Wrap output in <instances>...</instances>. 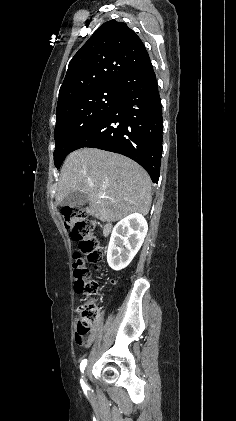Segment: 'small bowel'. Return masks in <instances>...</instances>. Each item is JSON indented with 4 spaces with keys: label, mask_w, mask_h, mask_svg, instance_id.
<instances>
[{
    "label": "small bowel",
    "mask_w": 236,
    "mask_h": 421,
    "mask_svg": "<svg viewBox=\"0 0 236 421\" xmlns=\"http://www.w3.org/2000/svg\"><path fill=\"white\" fill-rule=\"evenodd\" d=\"M99 329H100V325L98 324L94 327L92 332L87 337H85L84 344H91L94 341L95 336Z\"/></svg>",
    "instance_id": "c3829d8e"
}]
</instances>
